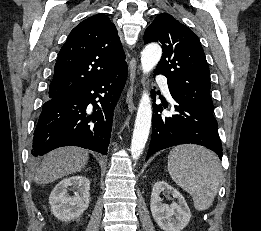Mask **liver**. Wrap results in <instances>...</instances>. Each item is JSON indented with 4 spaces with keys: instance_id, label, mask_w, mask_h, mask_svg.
<instances>
[{
    "instance_id": "obj_1",
    "label": "liver",
    "mask_w": 261,
    "mask_h": 231,
    "mask_svg": "<svg viewBox=\"0 0 261 231\" xmlns=\"http://www.w3.org/2000/svg\"><path fill=\"white\" fill-rule=\"evenodd\" d=\"M88 161V152L78 147H63L48 153L37 169L34 182L51 183L82 170Z\"/></svg>"
}]
</instances>
